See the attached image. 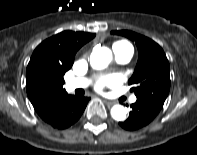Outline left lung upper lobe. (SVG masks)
<instances>
[{
  "label": "left lung upper lobe",
  "mask_w": 197,
  "mask_h": 155,
  "mask_svg": "<svg viewBox=\"0 0 197 155\" xmlns=\"http://www.w3.org/2000/svg\"><path fill=\"white\" fill-rule=\"evenodd\" d=\"M133 40L139 57L128 84L133 85L137 101L160 111L170 89V66L163 49L153 40L128 30L112 31Z\"/></svg>",
  "instance_id": "5c2ea615"
}]
</instances>
